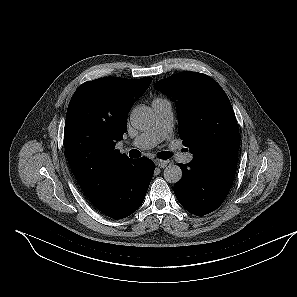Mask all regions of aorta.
I'll return each mask as SVG.
<instances>
[{"mask_svg": "<svg viewBox=\"0 0 297 297\" xmlns=\"http://www.w3.org/2000/svg\"><path fill=\"white\" fill-rule=\"evenodd\" d=\"M130 121L134 128L145 130L154 123V115L147 106H138L130 114ZM164 179L169 183H177L182 178V170L178 165L169 164L164 169Z\"/></svg>", "mask_w": 297, "mask_h": 297, "instance_id": "aorta-1", "label": "aorta"}]
</instances>
